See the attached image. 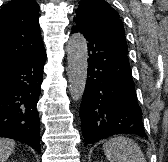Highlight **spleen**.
Instances as JSON below:
<instances>
[{
  "label": "spleen",
  "mask_w": 168,
  "mask_h": 162,
  "mask_svg": "<svg viewBox=\"0 0 168 162\" xmlns=\"http://www.w3.org/2000/svg\"><path fill=\"white\" fill-rule=\"evenodd\" d=\"M103 151L110 162H146L140 147L124 136L109 139Z\"/></svg>",
  "instance_id": "1"
}]
</instances>
